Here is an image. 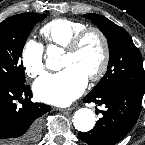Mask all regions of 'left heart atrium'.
I'll return each mask as SVG.
<instances>
[{
  "label": "left heart atrium",
  "instance_id": "39dd6f15",
  "mask_svg": "<svg viewBox=\"0 0 145 145\" xmlns=\"http://www.w3.org/2000/svg\"><path fill=\"white\" fill-rule=\"evenodd\" d=\"M86 75L75 66L38 79L33 90L36 97L46 103L66 106L82 94L87 85Z\"/></svg>",
  "mask_w": 145,
  "mask_h": 145
}]
</instances>
